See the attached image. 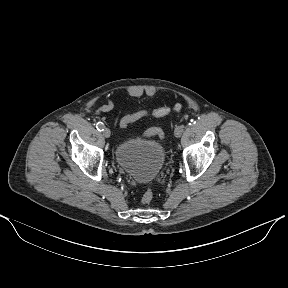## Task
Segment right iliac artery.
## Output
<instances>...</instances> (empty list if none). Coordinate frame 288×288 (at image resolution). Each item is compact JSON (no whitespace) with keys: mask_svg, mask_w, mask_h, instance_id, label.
I'll use <instances>...</instances> for the list:
<instances>
[{"mask_svg":"<svg viewBox=\"0 0 288 288\" xmlns=\"http://www.w3.org/2000/svg\"><path fill=\"white\" fill-rule=\"evenodd\" d=\"M96 128H97L98 131H103L105 126H104V124L102 122H98L96 124Z\"/></svg>","mask_w":288,"mask_h":288,"instance_id":"right-iliac-artery-1","label":"right iliac artery"}]
</instances>
